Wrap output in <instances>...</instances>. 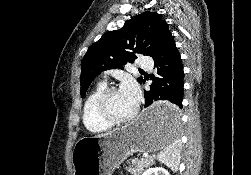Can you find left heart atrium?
I'll return each instance as SVG.
<instances>
[{"label":"left heart atrium","instance_id":"obj_1","mask_svg":"<svg viewBox=\"0 0 251 175\" xmlns=\"http://www.w3.org/2000/svg\"><path fill=\"white\" fill-rule=\"evenodd\" d=\"M119 92L124 102L134 111L141 100L137 84L133 80L127 79L121 85Z\"/></svg>","mask_w":251,"mask_h":175}]
</instances>
